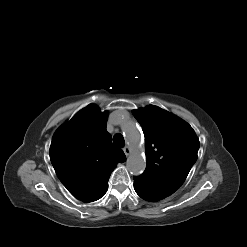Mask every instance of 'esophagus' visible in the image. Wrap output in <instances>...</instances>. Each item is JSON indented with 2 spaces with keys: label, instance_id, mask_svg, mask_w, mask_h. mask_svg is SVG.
Wrapping results in <instances>:
<instances>
[{
  "label": "esophagus",
  "instance_id": "1",
  "mask_svg": "<svg viewBox=\"0 0 247 247\" xmlns=\"http://www.w3.org/2000/svg\"><path fill=\"white\" fill-rule=\"evenodd\" d=\"M123 151H124V153H125L126 156H129L130 153H131V149H130V147H128V146H125V147L123 148Z\"/></svg>",
  "mask_w": 247,
  "mask_h": 247
}]
</instances>
